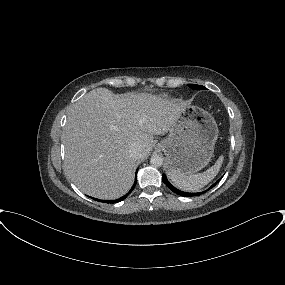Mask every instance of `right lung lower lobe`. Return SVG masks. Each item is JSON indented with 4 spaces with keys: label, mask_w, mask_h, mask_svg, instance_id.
<instances>
[{
    "label": "right lung lower lobe",
    "mask_w": 285,
    "mask_h": 285,
    "mask_svg": "<svg viewBox=\"0 0 285 285\" xmlns=\"http://www.w3.org/2000/svg\"><path fill=\"white\" fill-rule=\"evenodd\" d=\"M136 174H137V172H136ZM136 183H137V179H135V182H134L132 188L130 189V191H129L126 195L122 196L121 198H119V199H117V200L104 201V200H99V199H96V198H92V199L97 200V201H101V202H105V203H117V202H120V201L124 200V199L133 191V189H134Z\"/></svg>",
    "instance_id": "obj_1"
}]
</instances>
